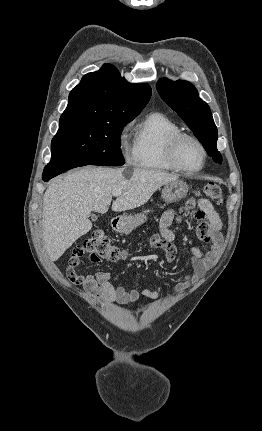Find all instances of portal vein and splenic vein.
Returning <instances> with one entry per match:
<instances>
[{
	"mask_svg": "<svg viewBox=\"0 0 262 431\" xmlns=\"http://www.w3.org/2000/svg\"><path fill=\"white\" fill-rule=\"evenodd\" d=\"M121 194H122L121 190H115V191L112 192L113 196H120Z\"/></svg>",
	"mask_w": 262,
	"mask_h": 431,
	"instance_id": "18ae733b",
	"label": "portal vein and splenic vein"
}]
</instances>
